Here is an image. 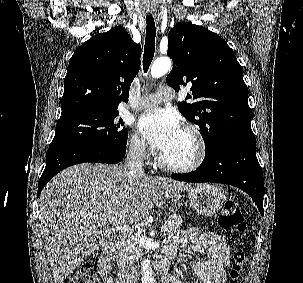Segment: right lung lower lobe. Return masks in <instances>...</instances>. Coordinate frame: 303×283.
<instances>
[{"mask_svg": "<svg viewBox=\"0 0 303 283\" xmlns=\"http://www.w3.org/2000/svg\"><path fill=\"white\" fill-rule=\"evenodd\" d=\"M125 153L126 146L119 149L80 143L50 146L46 166L39 180L38 196L51 178L69 166L85 162L116 164Z\"/></svg>", "mask_w": 303, "mask_h": 283, "instance_id": "98d812e1", "label": "right lung lower lobe"}]
</instances>
